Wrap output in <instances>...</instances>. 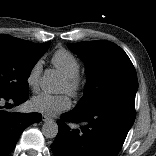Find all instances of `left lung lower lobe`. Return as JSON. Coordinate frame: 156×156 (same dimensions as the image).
Listing matches in <instances>:
<instances>
[{"label":"left lung lower lobe","instance_id":"obj_1","mask_svg":"<svg viewBox=\"0 0 156 156\" xmlns=\"http://www.w3.org/2000/svg\"><path fill=\"white\" fill-rule=\"evenodd\" d=\"M135 120V110L107 105L89 111H70L58 120L51 149L55 156H117ZM65 121L80 123L71 129Z\"/></svg>","mask_w":156,"mask_h":156}]
</instances>
